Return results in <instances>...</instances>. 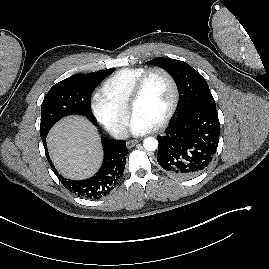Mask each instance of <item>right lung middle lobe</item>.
<instances>
[{
    "label": "right lung middle lobe",
    "instance_id": "dd1d6c3e",
    "mask_svg": "<svg viewBox=\"0 0 269 269\" xmlns=\"http://www.w3.org/2000/svg\"><path fill=\"white\" fill-rule=\"evenodd\" d=\"M114 69L89 74H77L55 84L45 96L41 106L40 136L45 139L51 127L70 114L86 116L96 121L90 110L91 93L96 85Z\"/></svg>",
    "mask_w": 269,
    "mask_h": 269
}]
</instances>
